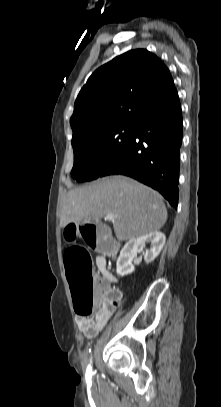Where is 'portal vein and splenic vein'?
Instances as JSON below:
<instances>
[{"label":"portal vein and splenic vein","instance_id":"obj_1","mask_svg":"<svg viewBox=\"0 0 221 407\" xmlns=\"http://www.w3.org/2000/svg\"><path fill=\"white\" fill-rule=\"evenodd\" d=\"M105 220L114 221V215H113V214H107V215H105Z\"/></svg>","mask_w":221,"mask_h":407}]
</instances>
